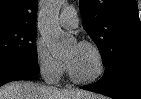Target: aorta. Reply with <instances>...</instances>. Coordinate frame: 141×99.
Masks as SVG:
<instances>
[{
    "instance_id": "762f6f07",
    "label": "aorta",
    "mask_w": 141,
    "mask_h": 99,
    "mask_svg": "<svg viewBox=\"0 0 141 99\" xmlns=\"http://www.w3.org/2000/svg\"><path fill=\"white\" fill-rule=\"evenodd\" d=\"M63 0H47L39 17V31L50 53L54 56L64 54L73 44V38L62 32L58 16Z\"/></svg>"
}]
</instances>
